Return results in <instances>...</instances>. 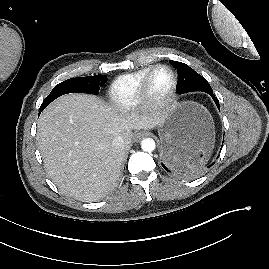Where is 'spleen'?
<instances>
[{
	"instance_id": "spleen-1",
	"label": "spleen",
	"mask_w": 269,
	"mask_h": 269,
	"mask_svg": "<svg viewBox=\"0 0 269 269\" xmlns=\"http://www.w3.org/2000/svg\"><path fill=\"white\" fill-rule=\"evenodd\" d=\"M188 167H189V168H192V166H191V165H189Z\"/></svg>"
}]
</instances>
